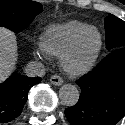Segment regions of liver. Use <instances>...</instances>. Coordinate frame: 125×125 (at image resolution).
Wrapping results in <instances>:
<instances>
[{
  "mask_svg": "<svg viewBox=\"0 0 125 125\" xmlns=\"http://www.w3.org/2000/svg\"><path fill=\"white\" fill-rule=\"evenodd\" d=\"M17 60V43L12 31L0 27V82L12 72Z\"/></svg>",
  "mask_w": 125,
  "mask_h": 125,
  "instance_id": "obj_1",
  "label": "liver"
}]
</instances>
